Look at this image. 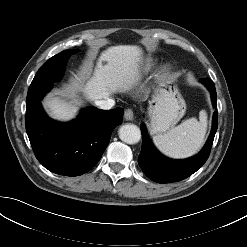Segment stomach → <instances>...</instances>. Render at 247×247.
Wrapping results in <instances>:
<instances>
[{
  "mask_svg": "<svg viewBox=\"0 0 247 247\" xmlns=\"http://www.w3.org/2000/svg\"><path fill=\"white\" fill-rule=\"evenodd\" d=\"M185 111L186 103L176 81L169 79L160 82L149 102L151 132L153 134L167 132L180 120Z\"/></svg>",
  "mask_w": 247,
  "mask_h": 247,
  "instance_id": "stomach-1",
  "label": "stomach"
}]
</instances>
